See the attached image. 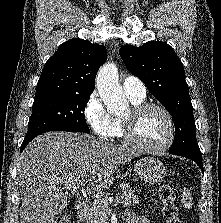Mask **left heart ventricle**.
I'll return each mask as SVG.
<instances>
[{"instance_id":"left-heart-ventricle-1","label":"left heart ventricle","mask_w":221,"mask_h":223,"mask_svg":"<svg viewBox=\"0 0 221 223\" xmlns=\"http://www.w3.org/2000/svg\"><path fill=\"white\" fill-rule=\"evenodd\" d=\"M131 111L124 117L128 118ZM169 125L165 115L156 109H150L137 117L134 136L137 141L151 145H161L168 138Z\"/></svg>"}]
</instances>
